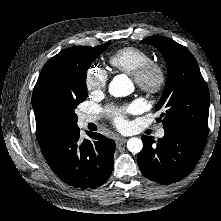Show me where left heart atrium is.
Wrapping results in <instances>:
<instances>
[{
  "label": "left heart atrium",
  "instance_id": "obj_1",
  "mask_svg": "<svg viewBox=\"0 0 221 221\" xmlns=\"http://www.w3.org/2000/svg\"><path fill=\"white\" fill-rule=\"evenodd\" d=\"M138 108H139V105L134 103L128 107V110L132 112V111L137 110ZM116 123L118 124V126L122 127L124 125L125 121L122 117H119L116 119Z\"/></svg>",
  "mask_w": 221,
  "mask_h": 221
}]
</instances>
